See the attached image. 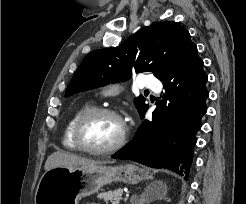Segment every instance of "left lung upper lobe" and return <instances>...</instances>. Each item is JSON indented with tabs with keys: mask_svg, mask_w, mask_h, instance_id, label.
Segmentation results:
<instances>
[{
	"mask_svg": "<svg viewBox=\"0 0 246 204\" xmlns=\"http://www.w3.org/2000/svg\"><path fill=\"white\" fill-rule=\"evenodd\" d=\"M193 45L189 32L178 23H154L118 47L89 53L67 86L65 96L128 80L133 73L152 72L163 80ZM135 104L140 114L147 107L143 96L137 97Z\"/></svg>",
	"mask_w": 246,
	"mask_h": 204,
	"instance_id": "5c2ea615",
	"label": "left lung upper lobe"
}]
</instances>
